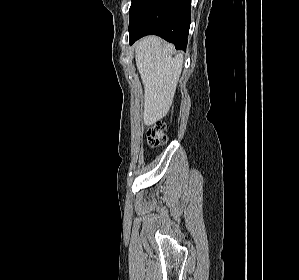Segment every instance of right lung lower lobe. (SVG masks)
Here are the masks:
<instances>
[{
    "mask_svg": "<svg viewBox=\"0 0 299 280\" xmlns=\"http://www.w3.org/2000/svg\"><path fill=\"white\" fill-rule=\"evenodd\" d=\"M191 0H132L129 10L130 44L146 35H158L185 50L190 27Z\"/></svg>",
    "mask_w": 299,
    "mask_h": 280,
    "instance_id": "1",
    "label": "right lung lower lobe"
}]
</instances>
